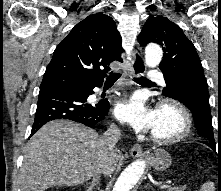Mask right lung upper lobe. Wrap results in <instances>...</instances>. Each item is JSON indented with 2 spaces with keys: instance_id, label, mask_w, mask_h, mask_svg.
<instances>
[{
  "instance_id": "obj_1",
  "label": "right lung upper lobe",
  "mask_w": 221,
  "mask_h": 191,
  "mask_svg": "<svg viewBox=\"0 0 221 191\" xmlns=\"http://www.w3.org/2000/svg\"><path fill=\"white\" fill-rule=\"evenodd\" d=\"M121 37L115 22L103 13L79 22L53 53L40 89L95 87L102 84L109 64L120 61Z\"/></svg>"
}]
</instances>
